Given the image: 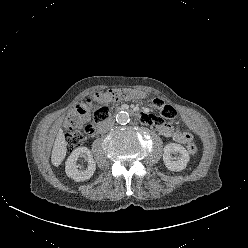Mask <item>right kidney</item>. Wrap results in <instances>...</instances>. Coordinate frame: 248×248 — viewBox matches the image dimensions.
<instances>
[{
	"label": "right kidney",
	"mask_w": 248,
	"mask_h": 248,
	"mask_svg": "<svg viewBox=\"0 0 248 248\" xmlns=\"http://www.w3.org/2000/svg\"><path fill=\"white\" fill-rule=\"evenodd\" d=\"M86 156L88 158V166L84 171L78 169L77 160L79 156ZM96 170V162L94 161L92 154L86 147H78L72 151L66 161L65 172L68 177L72 178L76 182L85 181L90 179Z\"/></svg>",
	"instance_id": "obj_1"
}]
</instances>
